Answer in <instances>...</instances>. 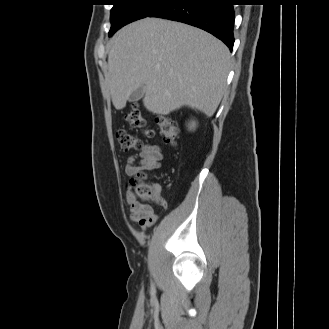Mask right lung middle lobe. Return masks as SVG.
<instances>
[{
  "label": "right lung middle lobe",
  "mask_w": 329,
  "mask_h": 329,
  "mask_svg": "<svg viewBox=\"0 0 329 329\" xmlns=\"http://www.w3.org/2000/svg\"><path fill=\"white\" fill-rule=\"evenodd\" d=\"M171 1L173 0H112L114 6L111 9L109 36L130 22L150 16Z\"/></svg>",
  "instance_id": "dd1d6c3e"
}]
</instances>
